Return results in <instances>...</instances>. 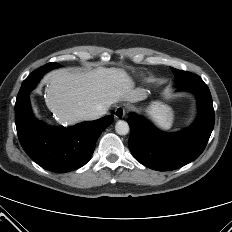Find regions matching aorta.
Returning a JSON list of instances; mask_svg holds the SVG:
<instances>
[{
	"mask_svg": "<svg viewBox=\"0 0 232 232\" xmlns=\"http://www.w3.org/2000/svg\"><path fill=\"white\" fill-rule=\"evenodd\" d=\"M115 130L119 135H126L129 132V125L126 121L119 120L115 125Z\"/></svg>",
	"mask_w": 232,
	"mask_h": 232,
	"instance_id": "aorta-1",
	"label": "aorta"
}]
</instances>
